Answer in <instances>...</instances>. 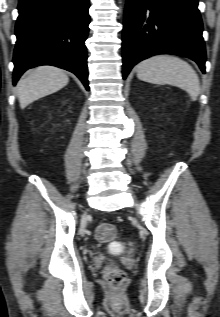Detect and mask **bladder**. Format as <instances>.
<instances>
[{
    "label": "bladder",
    "instance_id": "obj_1",
    "mask_svg": "<svg viewBox=\"0 0 220 317\" xmlns=\"http://www.w3.org/2000/svg\"><path fill=\"white\" fill-rule=\"evenodd\" d=\"M123 249V247L122 246H119L116 250L117 251H120V250H122Z\"/></svg>",
    "mask_w": 220,
    "mask_h": 317
}]
</instances>
